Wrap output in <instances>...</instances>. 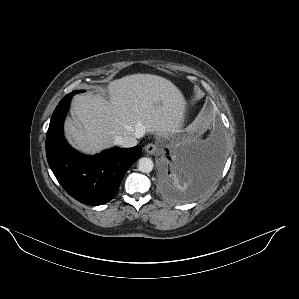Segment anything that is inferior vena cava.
Wrapping results in <instances>:
<instances>
[{
  "instance_id": "1",
  "label": "inferior vena cava",
  "mask_w": 299,
  "mask_h": 299,
  "mask_svg": "<svg viewBox=\"0 0 299 299\" xmlns=\"http://www.w3.org/2000/svg\"><path fill=\"white\" fill-rule=\"evenodd\" d=\"M115 144L120 145L124 148H129V147L136 146L138 144V141L135 136H131V135L124 136V137L118 136L115 139Z\"/></svg>"
}]
</instances>
